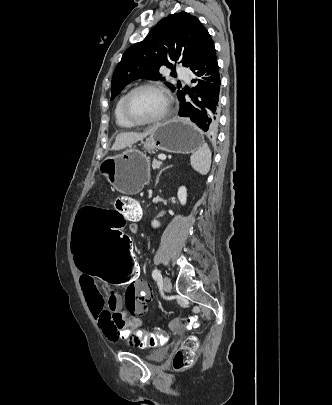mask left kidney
<instances>
[{
    "instance_id": "left-kidney-1",
    "label": "left kidney",
    "mask_w": 332,
    "mask_h": 405,
    "mask_svg": "<svg viewBox=\"0 0 332 405\" xmlns=\"http://www.w3.org/2000/svg\"><path fill=\"white\" fill-rule=\"evenodd\" d=\"M177 197L178 200L180 202V204L185 205L186 201H187V190L184 186L180 187L178 189V193H177ZM152 226L153 228H158L160 226V222L157 220H153L152 221Z\"/></svg>"
}]
</instances>
